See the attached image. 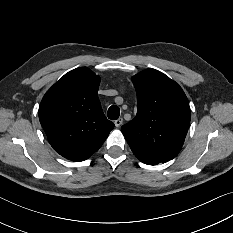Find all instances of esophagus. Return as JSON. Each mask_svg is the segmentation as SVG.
Wrapping results in <instances>:
<instances>
[{
	"instance_id": "34e87169",
	"label": "esophagus",
	"mask_w": 233,
	"mask_h": 233,
	"mask_svg": "<svg viewBox=\"0 0 233 233\" xmlns=\"http://www.w3.org/2000/svg\"><path fill=\"white\" fill-rule=\"evenodd\" d=\"M122 122H123V119L119 118V119L115 120L114 124L116 127H119L122 124Z\"/></svg>"
}]
</instances>
